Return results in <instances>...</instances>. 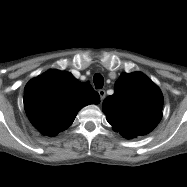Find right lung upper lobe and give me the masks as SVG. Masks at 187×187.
Returning <instances> with one entry per match:
<instances>
[{
	"instance_id": "1",
	"label": "right lung upper lobe",
	"mask_w": 187,
	"mask_h": 187,
	"mask_svg": "<svg viewBox=\"0 0 187 187\" xmlns=\"http://www.w3.org/2000/svg\"><path fill=\"white\" fill-rule=\"evenodd\" d=\"M98 103L99 95L92 86L78 81L70 72L49 70L25 86L27 116L48 136L68 128L82 107Z\"/></svg>"
}]
</instances>
